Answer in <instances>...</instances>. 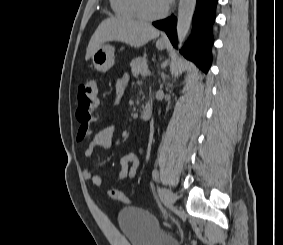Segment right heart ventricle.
<instances>
[{"instance_id": "1", "label": "right heart ventricle", "mask_w": 283, "mask_h": 245, "mask_svg": "<svg viewBox=\"0 0 283 245\" xmlns=\"http://www.w3.org/2000/svg\"><path fill=\"white\" fill-rule=\"evenodd\" d=\"M110 5L114 13L120 17H139L134 7V0H110Z\"/></svg>"}]
</instances>
